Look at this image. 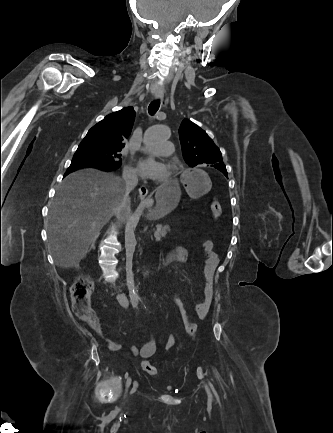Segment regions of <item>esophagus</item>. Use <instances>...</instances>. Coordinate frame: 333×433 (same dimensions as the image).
I'll list each match as a JSON object with an SVG mask.
<instances>
[{"label":"esophagus","instance_id":"34e87169","mask_svg":"<svg viewBox=\"0 0 333 433\" xmlns=\"http://www.w3.org/2000/svg\"><path fill=\"white\" fill-rule=\"evenodd\" d=\"M155 98L161 102V106H166V99L164 95V91L162 89H158L155 93ZM148 194V189L145 185L140 186L139 188V197L141 200H145Z\"/></svg>","mask_w":333,"mask_h":433}]
</instances>
